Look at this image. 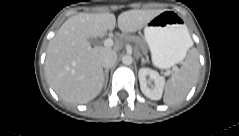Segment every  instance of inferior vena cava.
I'll use <instances>...</instances> for the list:
<instances>
[{"instance_id":"1","label":"inferior vena cava","mask_w":239,"mask_h":136,"mask_svg":"<svg viewBox=\"0 0 239 136\" xmlns=\"http://www.w3.org/2000/svg\"><path fill=\"white\" fill-rule=\"evenodd\" d=\"M117 60V54L113 50H104L99 55V61L104 68H111Z\"/></svg>"}]
</instances>
